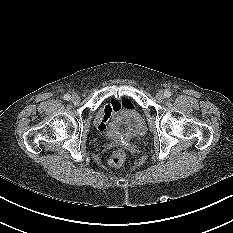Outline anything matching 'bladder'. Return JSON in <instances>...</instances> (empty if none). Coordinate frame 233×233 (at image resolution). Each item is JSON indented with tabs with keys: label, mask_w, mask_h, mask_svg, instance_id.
Returning a JSON list of instances; mask_svg holds the SVG:
<instances>
[{
	"label": "bladder",
	"mask_w": 233,
	"mask_h": 233,
	"mask_svg": "<svg viewBox=\"0 0 233 233\" xmlns=\"http://www.w3.org/2000/svg\"><path fill=\"white\" fill-rule=\"evenodd\" d=\"M146 132V122L134 108H127L119 112L107 128V135L113 139L136 138L145 135Z\"/></svg>",
	"instance_id": "bladder-1"
}]
</instances>
